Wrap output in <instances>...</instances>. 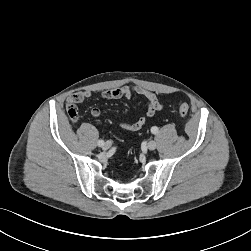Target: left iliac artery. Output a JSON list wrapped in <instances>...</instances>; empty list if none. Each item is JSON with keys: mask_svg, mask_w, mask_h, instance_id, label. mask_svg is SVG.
<instances>
[{"mask_svg": "<svg viewBox=\"0 0 251 251\" xmlns=\"http://www.w3.org/2000/svg\"><path fill=\"white\" fill-rule=\"evenodd\" d=\"M151 132H152L153 134H157V133H158V127L153 126V127L151 128Z\"/></svg>", "mask_w": 251, "mask_h": 251, "instance_id": "44dca946", "label": "left iliac artery"}]
</instances>
